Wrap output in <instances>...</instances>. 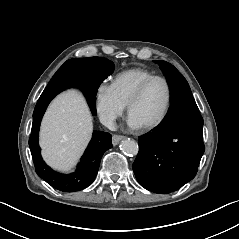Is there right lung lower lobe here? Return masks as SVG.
<instances>
[{"mask_svg":"<svg viewBox=\"0 0 239 239\" xmlns=\"http://www.w3.org/2000/svg\"><path fill=\"white\" fill-rule=\"evenodd\" d=\"M68 61L59 69L64 84L53 92L41 95L35 106L29 146L38 176L57 190L75 192L88 187L94 181L103 154L112 147L111 134L94 131L92 140L82 156L77 170L65 175L52 170L41 157L38 144L40 123L50 101L58 93L72 86L82 90L92 114L96 115L97 89L102 81L113 72L114 64L111 66L102 63L95 57L77 58L74 61Z\"/></svg>","mask_w":239,"mask_h":239,"instance_id":"obj_1","label":"right lung lower lobe"}]
</instances>
